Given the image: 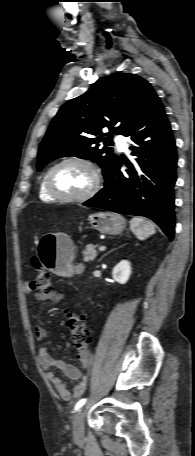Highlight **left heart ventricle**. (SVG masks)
<instances>
[{
    "label": "left heart ventricle",
    "mask_w": 195,
    "mask_h": 456,
    "mask_svg": "<svg viewBox=\"0 0 195 456\" xmlns=\"http://www.w3.org/2000/svg\"><path fill=\"white\" fill-rule=\"evenodd\" d=\"M51 182L57 192L67 196H78L89 190L93 177L85 165L67 163L53 172Z\"/></svg>",
    "instance_id": "left-heart-ventricle-1"
}]
</instances>
